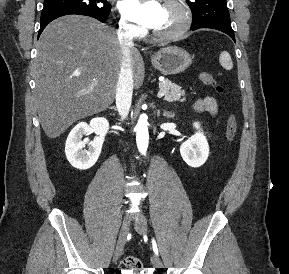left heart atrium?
Masks as SVG:
<instances>
[{
    "label": "left heart atrium",
    "instance_id": "39dd6f15",
    "mask_svg": "<svg viewBox=\"0 0 289 274\" xmlns=\"http://www.w3.org/2000/svg\"><path fill=\"white\" fill-rule=\"evenodd\" d=\"M162 5L158 0H123L121 10L130 20L153 28L160 16Z\"/></svg>",
    "mask_w": 289,
    "mask_h": 274
}]
</instances>
